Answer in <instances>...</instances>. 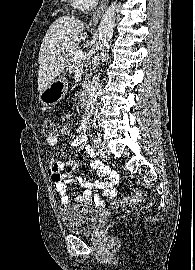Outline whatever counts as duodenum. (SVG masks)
<instances>
[{
  "mask_svg": "<svg viewBox=\"0 0 195 270\" xmlns=\"http://www.w3.org/2000/svg\"><path fill=\"white\" fill-rule=\"evenodd\" d=\"M88 103V89L85 90L82 95H81V98H80V104L82 106H86Z\"/></svg>",
  "mask_w": 195,
  "mask_h": 270,
  "instance_id": "1",
  "label": "duodenum"
}]
</instances>
